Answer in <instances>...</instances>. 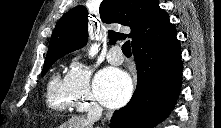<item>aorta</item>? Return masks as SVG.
Instances as JSON below:
<instances>
[{
  "label": "aorta",
  "mask_w": 221,
  "mask_h": 128,
  "mask_svg": "<svg viewBox=\"0 0 221 128\" xmlns=\"http://www.w3.org/2000/svg\"><path fill=\"white\" fill-rule=\"evenodd\" d=\"M98 49H99V45H97V43H94L90 46V48L88 49V55L90 57H93L97 54L98 52Z\"/></svg>",
  "instance_id": "obj_1"
}]
</instances>
